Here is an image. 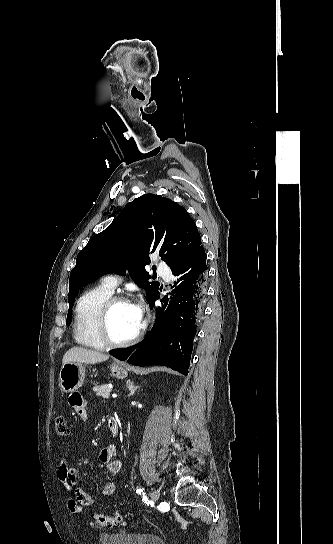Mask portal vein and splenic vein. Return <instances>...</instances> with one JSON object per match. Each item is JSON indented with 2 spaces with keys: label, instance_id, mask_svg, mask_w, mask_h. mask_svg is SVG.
<instances>
[{
  "label": "portal vein and splenic vein",
  "instance_id": "1",
  "mask_svg": "<svg viewBox=\"0 0 333 544\" xmlns=\"http://www.w3.org/2000/svg\"><path fill=\"white\" fill-rule=\"evenodd\" d=\"M112 398H117V394H116V393H113V394H112Z\"/></svg>",
  "mask_w": 333,
  "mask_h": 544
}]
</instances>
